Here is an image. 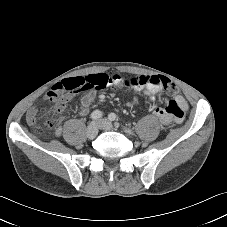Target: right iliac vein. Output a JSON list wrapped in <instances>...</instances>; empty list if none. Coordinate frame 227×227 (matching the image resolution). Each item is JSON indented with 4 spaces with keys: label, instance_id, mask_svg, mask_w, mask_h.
Here are the masks:
<instances>
[{
    "label": "right iliac vein",
    "instance_id": "1",
    "mask_svg": "<svg viewBox=\"0 0 227 227\" xmlns=\"http://www.w3.org/2000/svg\"><path fill=\"white\" fill-rule=\"evenodd\" d=\"M86 134H87L88 138L96 137V135L98 134V125L96 122H91L88 125Z\"/></svg>",
    "mask_w": 227,
    "mask_h": 227
}]
</instances>
